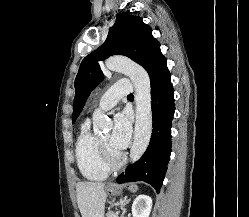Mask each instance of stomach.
I'll use <instances>...</instances> for the list:
<instances>
[{
    "label": "stomach",
    "mask_w": 249,
    "mask_h": 217,
    "mask_svg": "<svg viewBox=\"0 0 249 217\" xmlns=\"http://www.w3.org/2000/svg\"><path fill=\"white\" fill-rule=\"evenodd\" d=\"M129 190L134 192V191L137 190V186L134 185V184H131L130 187H129ZM106 191L111 195H120V194H122V188L120 186L113 185V184L107 186Z\"/></svg>",
    "instance_id": "stomach-1"
}]
</instances>
